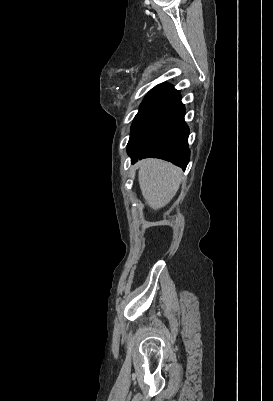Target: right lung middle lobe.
<instances>
[{
	"instance_id": "right-lung-middle-lobe-1",
	"label": "right lung middle lobe",
	"mask_w": 273,
	"mask_h": 401,
	"mask_svg": "<svg viewBox=\"0 0 273 401\" xmlns=\"http://www.w3.org/2000/svg\"><path fill=\"white\" fill-rule=\"evenodd\" d=\"M170 99L171 98L162 96H146L140 105L139 112L134 118L130 138L150 117L164 107Z\"/></svg>"
}]
</instances>
